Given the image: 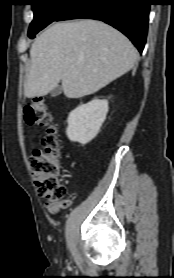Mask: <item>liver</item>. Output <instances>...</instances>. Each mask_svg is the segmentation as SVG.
Wrapping results in <instances>:
<instances>
[{
	"label": "liver",
	"instance_id": "liver-1",
	"mask_svg": "<svg viewBox=\"0 0 174 278\" xmlns=\"http://www.w3.org/2000/svg\"><path fill=\"white\" fill-rule=\"evenodd\" d=\"M24 94L44 96L62 81L67 98L93 94L134 66L137 50L127 37L101 21L55 23L30 49Z\"/></svg>",
	"mask_w": 174,
	"mask_h": 278
}]
</instances>
